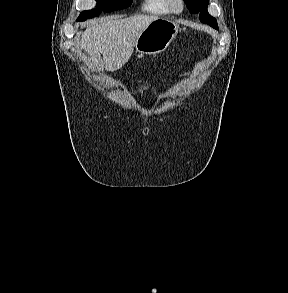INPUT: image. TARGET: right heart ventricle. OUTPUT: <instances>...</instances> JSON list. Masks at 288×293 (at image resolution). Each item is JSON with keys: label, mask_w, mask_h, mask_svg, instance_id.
<instances>
[{"label": "right heart ventricle", "mask_w": 288, "mask_h": 293, "mask_svg": "<svg viewBox=\"0 0 288 293\" xmlns=\"http://www.w3.org/2000/svg\"><path fill=\"white\" fill-rule=\"evenodd\" d=\"M142 9L146 12L158 15L169 14L172 12L167 0H144L142 3Z\"/></svg>", "instance_id": "e07e8e85"}]
</instances>
